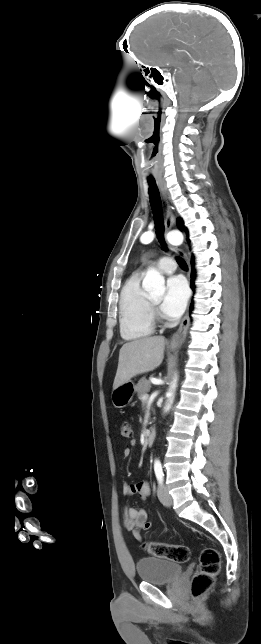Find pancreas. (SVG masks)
Masks as SVG:
<instances>
[{"instance_id": "obj_1", "label": "pancreas", "mask_w": 261, "mask_h": 644, "mask_svg": "<svg viewBox=\"0 0 261 644\" xmlns=\"http://www.w3.org/2000/svg\"><path fill=\"white\" fill-rule=\"evenodd\" d=\"M151 384L146 378H142L139 380L137 386H136V391L139 400L144 402L145 400L142 399V396L147 394L150 391Z\"/></svg>"}]
</instances>
